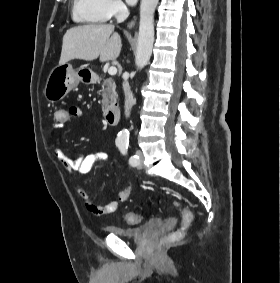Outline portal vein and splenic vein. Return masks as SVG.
<instances>
[{
  "label": "portal vein and splenic vein",
  "instance_id": "obj_1",
  "mask_svg": "<svg viewBox=\"0 0 280 283\" xmlns=\"http://www.w3.org/2000/svg\"><path fill=\"white\" fill-rule=\"evenodd\" d=\"M108 74L111 75V76L116 75L117 74V68L114 67V66L109 67Z\"/></svg>",
  "mask_w": 280,
  "mask_h": 283
}]
</instances>
